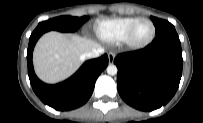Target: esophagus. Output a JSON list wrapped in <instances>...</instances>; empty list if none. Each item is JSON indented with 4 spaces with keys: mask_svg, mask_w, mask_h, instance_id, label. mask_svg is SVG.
<instances>
[{
    "mask_svg": "<svg viewBox=\"0 0 203 123\" xmlns=\"http://www.w3.org/2000/svg\"><path fill=\"white\" fill-rule=\"evenodd\" d=\"M114 59H115V54L114 53H109L108 54V60H109L110 64H112L114 62Z\"/></svg>",
    "mask_w": 203,
    "mask_h": 123,
    "instance_id": "esophagus-1",
    "label": "esophagus"
}]
</instances>
